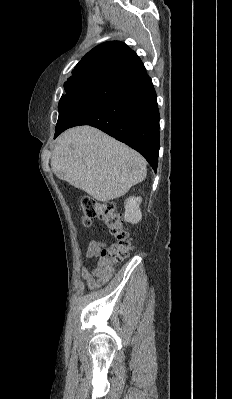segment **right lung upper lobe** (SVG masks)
<instances>
[{
    "label": "right lung upper lobe",
    "mask_w": 232,
    "mask_h": 399,
    "mask_svg": "<svg viewBox=\"0 0 232 399\" xmlns=\"http://www.w3.org/2000/svg\"><path fill=\"white\" fill-rule=\"evenodd\" d=\"M140 58L126 44L119 41L102 43L89 51L72 71L67 80L99 79L105 80L137 64Z\"/></svg>",
    "instance_id": "cb5924a9"
}]
</instances>
